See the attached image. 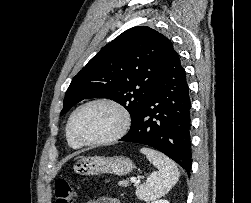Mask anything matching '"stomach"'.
I'll list each match as a JSON object with an SVG mask.
<instances>
[{"instance_id": "0dacf381", "label": "stomach", "mask_w": 251, "mask_h": 203, "mask_svg": "<svg viewBox=\"0 0 251 203\" xmlns=\"http://www.w3.org/2000/svg\"><path fill=\"white\" fill-rule=\"evenodd\" d=\"M73 168L76 173L81 175L113 173L121 176L130 173L134 164L132 160L124 156H92L79 159Z\"/></svg>"}]
</instances>
